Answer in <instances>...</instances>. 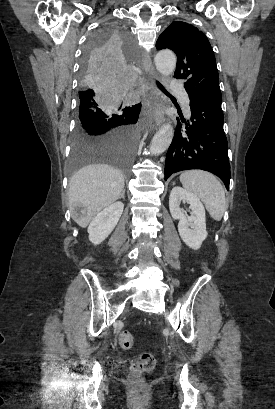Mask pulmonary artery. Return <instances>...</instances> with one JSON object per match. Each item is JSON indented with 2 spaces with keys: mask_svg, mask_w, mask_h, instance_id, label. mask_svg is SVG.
Returning <instances> with one entry per match:
<instances>
[{
  "mask_svg": "<svg viewBox=\"0 0 275 409\" xmlns=\"http://www.w3.org/2000/svg\"><path fill=\"white\" fill-rule=\"evenodd\" d=\"M169 86L171 88H176L178 86V81L176 79H171L169 81ZM180 99H181V103H182V106H183V109H184L185 113L189 116V114H190V101H189L188 94L186 92H183L181 94Z\"/></svg>",
  "mask_w": 275,
  "mask_h": 409,
  "instance_id": "1",
  "label": "pulmonary artery"
}]
</instances>
